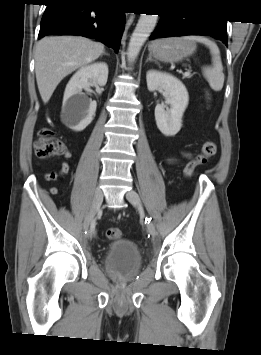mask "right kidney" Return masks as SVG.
<instances>
[{
  "instance_id": "right-kidney-1",
  "label": "right kidney",
  "mask_w": 261,
  "mask_h": 355,
  "mask_svg": "<svg viewBox=\"0 0 261 355\" xmlns=\"http://www.w3.org/2000/svg\"><path fill=\"white\" fill-rule=\"evenodd\" d=\"M108 79V66L97 62L81 67L68 82L63 98L61 118L70 129L83 131L93 120L97 103L88 99L83 89L93 84L104 86Z\"/></svg>"
}]
</instances>
